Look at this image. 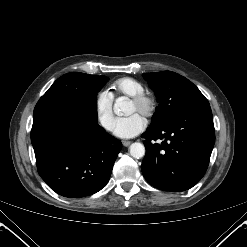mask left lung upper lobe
<instances>
[{"label": "left lung upper lobe", "instance_id": "5c2ea615", "mask_svg": "<svg viewBox=\"0 0 247 247\" xmlns=\"http://www.w3.org/2000/svg\"><path fill=\"white\" fill-rule=\"evenodd\" d=\"M160 103L150 127L158 126L184 112L200 106H210L199 89L185 77L162 71L143 74Z\"/></svg>", "mask_w": 247, "mask_h": 247}]
</instances>
